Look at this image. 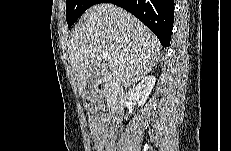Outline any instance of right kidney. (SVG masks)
I'll list each match as a JSON object with an SVG mask.
<instances>
[{
    "instance_id": "1",
    "label": "right kidney",
    "mask_w": 231,
    "mask_h": 151,
    "mask_svg": "<svg viewBox=\"0 0 231 151\" xmlns=\"http://www.w3.org/2000/svg\"><path fill=\"white\" fill-rule=\"evenodd\" d=\"M156 78L152 75L146 76L136 87V101L139 106H143L148 99L155 85Z\"/></svg>"
}]
</instances>
